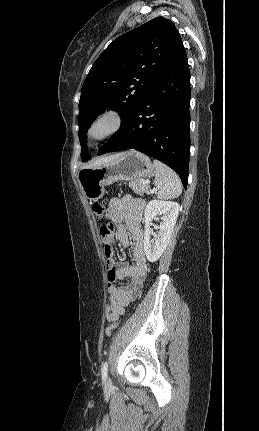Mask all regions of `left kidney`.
<instances>
[{
  "label": "left kidney",
  "mask_w": 259,
  "mask_h": 431,
  "mask_svg": "<svg viewBox=\"0 0 259 431\" xmlns=\"http://www.w3.org/2000/svg\"><path fill=\"white\" fill-rule=\"evenodd\" d=\"M179 208V204L173 201L152 200L147 204L144 212L145 233L143 244L148 261H157L166 249L176 224ZM157 215H161L162 221L157 227V234L152 239L153 231L150 226Z\"/></svg>",
  "instance_id": "1"
}]
</instances>
